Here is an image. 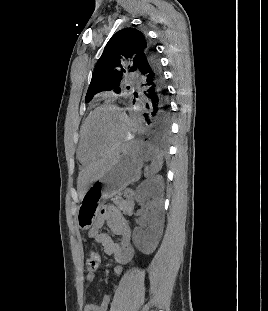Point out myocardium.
Instances as JSON below:
<instances>
[{
	"label": "myocardium",
	"mask_w": 268,
	"mask_h": 311,
	"mask_svg": "<svg viewBox=\"0 0 268 311\" xmlns=\"http://www.w3.org/2000/svg\"><path fill=\"white\" fill-rule=\"evenodd\" d=\"M103 109H113L115 111H117L122 120H123V131L121 136L119 137V139L116 141V143L110 147L108 150L103 151V152H97L95 151L89 144L88 142V126L90 123V120L92 119V117L99 111L103 110ZM129 130H130V126H129V119L126 115V113L119 108L117 105L112 104V103H103L99 106H97L95 109H93L89 115L86 117L83 126H82V139H83V144L85 149L88 151L89 154H91L94 157H102L105 156L113 151H115L117 148H119L128 138L129 135Z\"/></svg>",
	"instance_id": "f54148a6"
}]
</instances>
